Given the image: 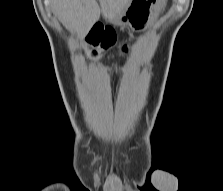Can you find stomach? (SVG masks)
<instances>
[{
    "mask_svg": "<svg viewBox=\"0 0 223 191\" xmlns=\"http://www.w3.org/2000/svg\"><path fill=\"white\" fill-rule=\"evenodd\" d=\"M164 0H131L127 8L114 19H109L116 25L130 27L140 31L154 22Z\"/></svg>",
    "mask_w": 223,
    "mask_h": 191,
    "instance_id": "stomach-1",
    "label": "stomach"
}]
</instances>
